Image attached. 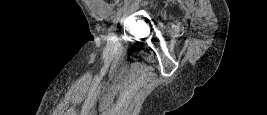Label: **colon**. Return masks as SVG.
<instances>
[{
  "label": "colon",
  "mask_w": 267,
  "mask_h": 115,
  "mask_svg": "<svg viewBox=\"0 0 267 115\" xmlns=\"http://www.w3.org/2000/svg\"><path fill=\"white\" fill-rule=\"evenodd\" d=\"M98 1L108 6H114L121 2V0H98Z\"/></svg>",
  "instance_id": "1"
}]
</instances>
